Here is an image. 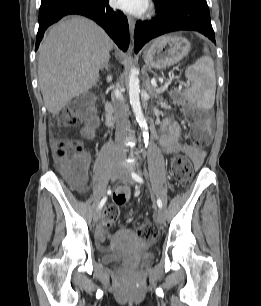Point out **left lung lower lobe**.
Listing matches in <instances>:
<instances>
[{
	"mask_svg": "<svg viewBox=\"0 0 261 306\" xmlns=\"http://www.w3.org/2000/svg\"><path fill=\"white\" fill-rule=\"evenodd\" d=\"M158 17L151 21H137L134 51L137 53L149 40L168 32L198 31L215 42L206 0H154Z\"/></svg>",
	"mask_w": 261,
	"mask_h": 306,
	"instance_id": "left-lung-lower-lobe-1",
	"label": "left lung lower lobe"
}]
</instances>
